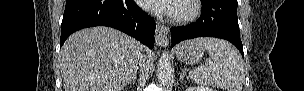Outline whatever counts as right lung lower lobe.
Wrapping results in <instances>:
<instances>
[{"label": "right lung lower lobe", "mask_w": 304, "mask_h": 91, "mask_svg": "<svg viewBox=\"0 0 304 91\" xmlns=\"http://www.w3.org/2000/svg\"><path fill=\"white\" fill-rule=\"evenodd\" d=\"M99 25L118 29L148 47H154V19L132 0H67L60 47L73 32Z\"/></svg>", "instance_id": "98d812e1"}]
</instances>
